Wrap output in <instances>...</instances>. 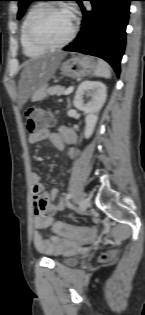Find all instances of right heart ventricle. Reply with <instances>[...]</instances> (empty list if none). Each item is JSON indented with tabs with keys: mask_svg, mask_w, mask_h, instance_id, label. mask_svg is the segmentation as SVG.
<instances>
[{
	"mask_svg": "<svg viewBox=\"0 0 145 315\" xmlns=\"http://www.w3.org/2000/svg\"><path fill=\"white\" fill-rule=\"evenodd\" d=\"M40 8L39 5L32 6L25 14L21 26H20V43L23 49V52L28 57H38L45 53L46 50L38 48L30 43L27 37L26 28L27 23L33 13Z\"/></svg>",
	"mask_w": 145,
	"mask_h": 315,
	"instance_id": "e07e8e85",
	"label": "right heart ventricle"
}]
</instances>
